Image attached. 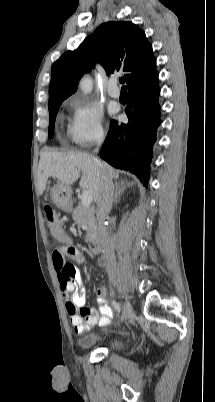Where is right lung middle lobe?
I'll use <instances>...</instances> for the list:
<instances>
[{"instance_id": "right-lung-middle-lobe-1", "label": "right lung middle lobe", "mask_w": 215, "mask_h": 402, "mask_svg": "<svg viewBox=\"0 0 215 402\" xmlns=\"http://www.w3.org/2000/svg\"><path fill=\"white\" fill-rule=\"evenodd\" d=\"M64 99L65 98L56 99V100L50 102L48 105V108H49V129H48L49 137H53L56 114Z\"/></svg>"}]
</instances>
